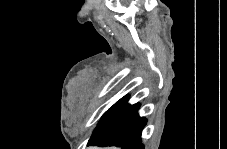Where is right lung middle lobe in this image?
Here are the masks:
<instances>
[{
  "label": "right lung middle lobe",
  "mask_w": 227,
  "mask_h": 149,
  "mask_svg": "<svg viewBox=\"0 0 227 149\" xmlns=\"http://www.w3.org/2000/svg\"><path fill=\"white\" fill-rule=\"evenodd\" d=\"M129 96L126 95L119 101H117L104 115L101 117L100 122L96 129L108 124L109 122L114 121L119 116H121L128 108L129 104L127 103Z\"/></svg>",
  "instance_id": "1"
}]
</instances>
